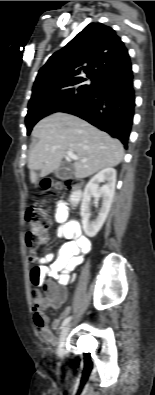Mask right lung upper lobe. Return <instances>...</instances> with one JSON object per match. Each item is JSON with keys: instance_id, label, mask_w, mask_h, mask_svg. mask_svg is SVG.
<instances>
[{"instance_id": "cb5924a9", "label": "right lung upper lobe", "mask_w": 155, "mask_h": 395, "mask_svg": "<svg viewBox=\"0 0 155 395\" xmlns=\"http://www.w3.org/2000/svg\"><path fill=\"white\" fill-rule=\"evenodd\" d=\"M131 66L128 50L109 26L91 23L39 70L33 94L48 86L84 79L100 81L106 74Z\"/></svg>"}]
</instances>
